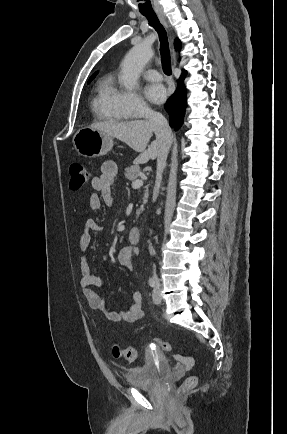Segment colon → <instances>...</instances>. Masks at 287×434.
<instances>
[{
    "label": "colon",
    "mask_w": 287,
    "mask_h": 434,
    "mask_svg": "<svg viewBox=\"0 0 287 434\" xmlns=\"http://www.w3.org/2000/svg\"><path fill=\"white\" fill-rule=\"evenodd\" d=\"M70 182L69 187L72 190H78L82 186H84L91 178L90 171L80 163H73L70 166ZM153 343L156 347L162 349L166 352H173L174 347L163 340L154 339ZM113 355L116 358H122L127 361H135L137 358V351L133 347H121L119 345H115L113 347ZM177 359L180 360H189L190 357L188 355V351L186 349H181L175 354ZM198 379L196 376H189L185 379L181 387L176 391V398L181 397L185 392L193 389L197 385Z\"/></svg>",
    "instance_id": "1"
}]
</instances>
